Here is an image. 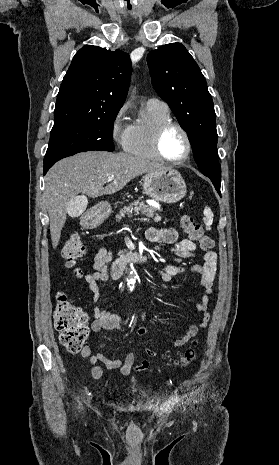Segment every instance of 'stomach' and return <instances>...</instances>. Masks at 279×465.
<instances>
[{
    "mask_svg": "<svg viewBox=\"0 0 279 465\" xmlns=\"http://www.w3.org/2000/svg\"><path fill=\"white\" fill-rule=\"evenodd\" d=\"M142 187L150 198L167 204L180 201L187 192L181 174L172 168L145 175L142 179ZM110 213V204L106 201L99 202L84 215L82 225L86 228H95L102 224Z\"/></svg>",
    "mask_w": 279,
    "mask_h": 465,
    "instance_id": "stomach-1",
    "label": "stomach"
}]
</instances>
